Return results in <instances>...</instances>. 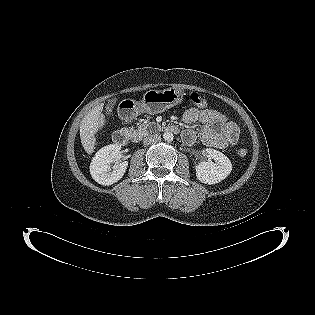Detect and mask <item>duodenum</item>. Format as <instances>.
Listing matches in <instances>:
<instances>
[{
  "label": "duodenum",
  "instance_id": "obj_1",
  "mask_svg": "<svg viewBox=\"0 0 315 315\" xmlns=\"http://www.w3.org/2000/svg\"><path fill=\"white\" fill-rule=\"evenodd\" d=\"M162 129L172 133H178L179 129L174 124L161 126ZM132 133L128 128H121L114 132L113 141L118 145H125L131 139Z\"/></svg>",
  "mask_w": 315,
  "mask_h": 315
}]
</instances>
